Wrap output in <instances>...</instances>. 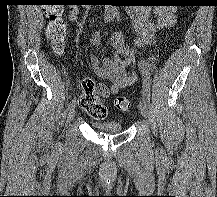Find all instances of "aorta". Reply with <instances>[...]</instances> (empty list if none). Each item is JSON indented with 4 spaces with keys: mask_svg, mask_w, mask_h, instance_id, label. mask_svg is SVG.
<instances>
[{
    "mask_svg": "<svg viewBox=\"0 0 217 197\" xmlns=\"http://www.w3.org/2000/svg\"><path fill=\"white\" fill-rule=\"evenodd\" d=\"M117 8L116 6L105 5V18L106 19H113L116 15Z\"/></svg>",
    "mask_w": 217,
    "mask_h": 197,
    "instance_id": "762f6f07",
    "label": "aorta"
}]
</instances>
